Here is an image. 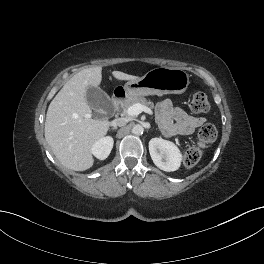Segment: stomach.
Returning <instances> with one entry per match:
<instances>
[{
    "mask_svg": "<svg viewBox=\"0 0 264 264\" xmlns=\"http://www.w3.org/2000/svg\"><path fill=\"white\" fill-rule=\"evenodd\" d=\"M189 75L179 68L158 67L143 77L128 81L123 89L128 98L165 94H182L189 85Z\"/></svg>",
    "mask_w": 264,
    "mask_h": 264,
    "instance_id": "stomach-1",
    "label": "stomach"
}]
</instances>
